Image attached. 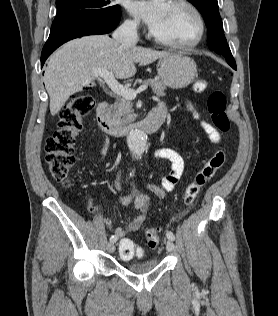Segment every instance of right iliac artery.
<instances>
[{"label": "right iliac artery", "mask_w": 278, "mask_h": 316, "mask_svg": "<svg viewBox=\"0 0 278 316\" xmlns=\"http://www.w3.org/2000/svg\"><path fill=\"white\" fill-rule=\"evenodd\" d=\"M130 176H132V173L130 174ZM110 241H111V242H116V241H117V237H116L115 235H112V236L110 237Z\"/></svg>", "instance_id": "1"}]
</instances>
